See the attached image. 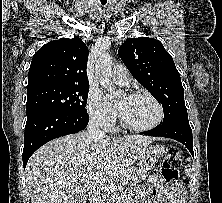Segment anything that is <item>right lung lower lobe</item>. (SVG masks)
<instances>
[{
	"label": "right lung lower lobe",
	"instance_id": "right-lung-lower-lobe-1",
	"mask_svg": "<svg viewBox=\"0 0 222 203\" xmlns=\"http://www.w3.org/2000/svg\"><path fill=\"white\" fill-rule=\"evenodd\" d=\"M88 121L87 113L42 110L27 115L23 149L24 168L39 147L55 138L85 129Z\"/></svg>",
	"mask_w": 222,
	"mask_h": 203
}]
</instances>
